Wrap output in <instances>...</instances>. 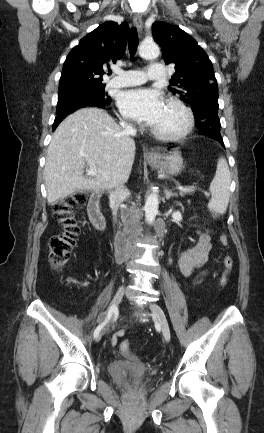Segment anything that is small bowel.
<instances>
[{"label": "small bowel", "instance_id": "small-bowel-1", "mask_svg": "<svg viewBox=\"0 0 264 433\" xmlns=\"http://www.w3.org/2000/svg\"><path fill=\"white\" fill-rule=\"evenodd\" d=\"M210 249V235L207 232H199L198 241L178 257L177 266L180 273L187 277L192 274L195 268L202 267L208 261ZM123 334V331L116 333L111 339V345H115L118 337Z\"/></svg>", "mask_w": 264, "mask_h": 433}]
</instances>
